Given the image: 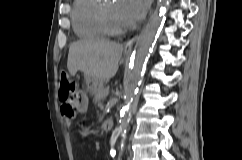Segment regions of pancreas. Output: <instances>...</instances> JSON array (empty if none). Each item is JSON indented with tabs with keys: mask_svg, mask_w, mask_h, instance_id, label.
<instances>
[{
	"mask_svg": "<svg viewBox=\"0 0 242 160\" xmlns=\"http://www.w3.org/2000/svg\"><path fill=\"white\" fill-rule=\"evenodd\" d=\"M109 94V87H103L94 97V103L98 106H101L102 101L107 97Z\"/></svg>",
	"mask_w": 242,
	"mask_h": 160,
	"instance_id": "obj_1",
	"label": "pancreas"
}]
</instances>
